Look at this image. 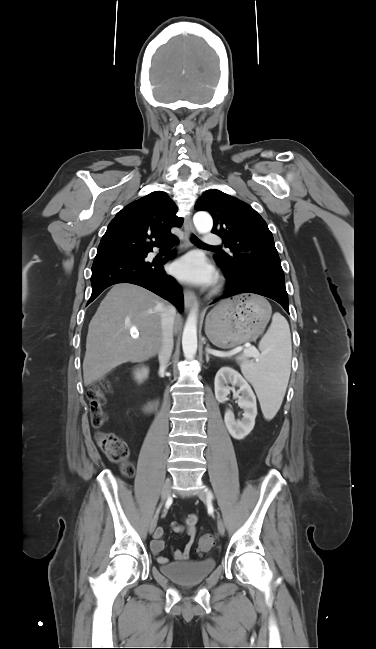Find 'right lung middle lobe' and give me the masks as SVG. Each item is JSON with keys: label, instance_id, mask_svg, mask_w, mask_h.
<instances>
[{"label": "right lung middle lobe", "instance_id": "obj_1", "mask_svg": "<svg viewBox=\"0 0 376 649\" xmlns=\"http://www.w3.org/2000/svg\"><path fill=\"white\" fill-rule=\"evenodd\" d=\"M143 254V252H129V253H119L112 255H96L95 260L111 257V256H125V257H134Z\"/></svg>", "mask_w": 376, "mask_h": 649}]
</instances>
